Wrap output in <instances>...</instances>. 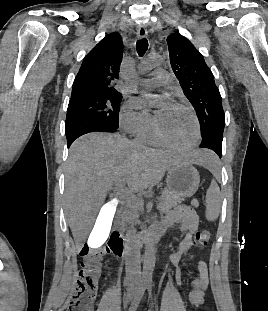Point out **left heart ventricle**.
Segmentation results:
<instances>
[{"label":"left heart ventricle","instance_id":"1","mask_svg":"<svg viewBox=\"0 0 268 311\" xmlns=\"http://www.w3.org/2000/svg\"><path fill=\"white\" fill-rule=\"evenodd\" d=\"M158 127L163 137L169 142L185 146L195 135V127L191 116L175 105L158 109L155 112Z\"/></svg>","mask_w":268,"mask_h":311}]
</instances>
